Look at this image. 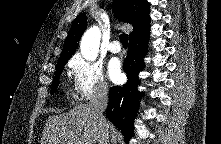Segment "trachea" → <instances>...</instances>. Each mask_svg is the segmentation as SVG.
<instances>
[{"label": "trachea", "mask_w": 221, "mask_h": 144, "mask_svg": "<svg viewBox=\"0 0 221 144\" xmlns=\"http://www.w3.org/2000/svg\"><path fill=\"white\" fill-rule=\"evenodd\" d=\"M120 42L122 43L123 47H127L128 45V35L125 33H122L120 35Z\"/></svg>", "instance_id": "obj_1"}]
</instances>
